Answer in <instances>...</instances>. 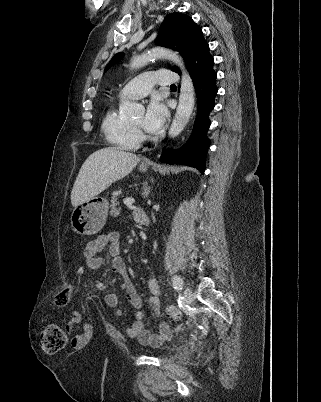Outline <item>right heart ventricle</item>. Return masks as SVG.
Wrapping results in <instances>:
<instances>
[{
  "instance_id": "obj_1",
  "label": "right heart ventricle",
  "mask_w": 321,
  "mask_h": 402,
  "mask_svg": "<svg viewBox=\"0 0 321 402\" xmlns=\"http://www.w3.org/2000/svg\"><path fill=\"white\" fill-rule=\"evenodd\" d=\"M102 131L107 142L122 150H135L140 145L138 133L131 123L123 119L115 107H110L102 121Z\"/></svg>"
}]
</instances>
